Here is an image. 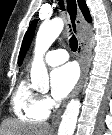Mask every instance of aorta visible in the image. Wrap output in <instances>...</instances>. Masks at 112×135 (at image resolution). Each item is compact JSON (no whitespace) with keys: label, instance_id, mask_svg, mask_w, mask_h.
Segmentation results:
<instances>
[{"label":"aorta","instance_id":"1","mask_svg":"<svg viewBox=\"0 0 112 135\" xmlns=\"http://www.w3.org/2000/svg\"><path fill=\"white\" fill-rule=\"evenodd\" d=\"M63 27V19L56 17L49 22L43 23L38 30L35 43V55L31 66L32 84L37 88L47 89L49 87V76L43 56L60 35ZM79 111L80 101L71 100L61 116L58 135H74Z\"/></svg>","mask_w":112,"mask_h":135}]
</instances>
